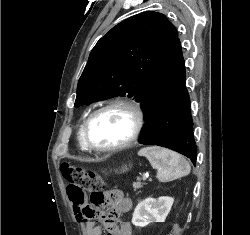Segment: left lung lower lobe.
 <instances>
[{
    "label": "left lung lower lobe",
    "mask_w": 250,
    "mask_h": 235,
    "mask_svg": "<svg viewBox=\"0 0 250 235\" xmlns=\"http://www.w3.org/2000/svg\"><path fill=\"white\" fill-rule=\"evenodd\" d=\"M186 73L179 39L169 50L141 99L145 127L139 141L172 149L196 165Z\"/></svg>",
    "instance_id": "1"
}]
</instances>
